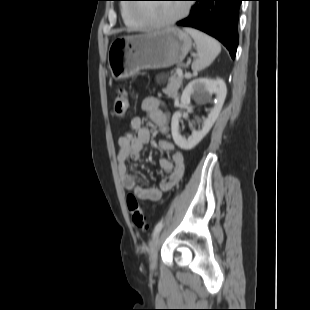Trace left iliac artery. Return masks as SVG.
Returning <instances> with one entry per match:
<instances>
[{
  "instance_id": "left-iliac-artery-1",
  "label": "left iliac artery",
  "mask_w": 310,
  "mask_h": 310,
  "mask_svg": "<svg viewBox=\"0 0 310 310\" xmlns=\"http://www.w3.org/2000/svg\"><path fill=\"white\" fill-rule=\"evenodd\" d=\"M162 227H163L162 221H160L156 224L154 231H153V237L161 231Z\"/></svg>"
}]
</instances>
